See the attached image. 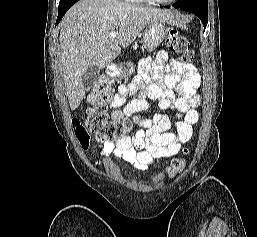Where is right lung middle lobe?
<instances>
[{
    "instance_id": "dd1d6c3e",
    "label": "right lung middle lobe",
    "mask_w": 257,
    "mask_h": 237,
    "mask_svg": "<svg viewBox=\"0 0 257 237\" xmlns=\"http://www.w3.org/2000/svg\"><path fill=\"white\" fill-rule=\"evenodd\" d=\"M75 0H60V2H59V8L60 7H63V6H66V5H68V4H70V3H72V2H74Z\"/></svg>"
}]
</instances>
